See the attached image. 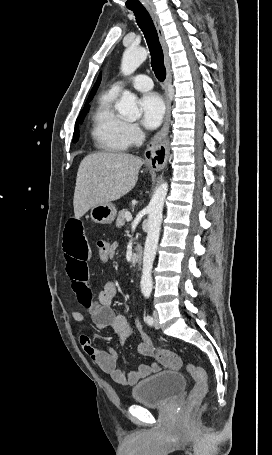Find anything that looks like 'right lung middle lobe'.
Returning <instances> with one entry per match:
<instances>
[{"label":"right lung middle lobe","mask_w":272,"mask_h":455,"mask_svg":"<svg viewBox=\"0 0 272 455\" xmlns=\"http://www.w3.org/2000/svg\"><path fill=\"white\" fill-rule=\"evenodd\" d=\"M91 101V100H88L86 102V105L85 107L82 109V111L80 112V115L79 117L77 118V121H76V126H75V131H74V142H76L79 138V131L77 129L78 127V124H81L83 122V118L85 117L86 113L88 112L89 110V105H88V102Z\"/></svg>","instance_id":"right-lung-middle-lobe-1"}]
</instances>
